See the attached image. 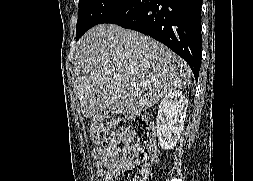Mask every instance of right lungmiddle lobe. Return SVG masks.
<instances>
[{"label": "right lung middle lobe", "instance_id": "obj_1", "mask_svg": "<svg viewBox=\"0 0 253 181\" xmlns=\"http://www.w3.org/2000/svg\"><path fill=\"white\" fill-rule=\"evenodd\" d=\"M127 1L128 0H79L76 38L82 36L91 27L102 23Z\"/></svg>", "mask_w": 253, "mask_h": 181}]
</instances>
